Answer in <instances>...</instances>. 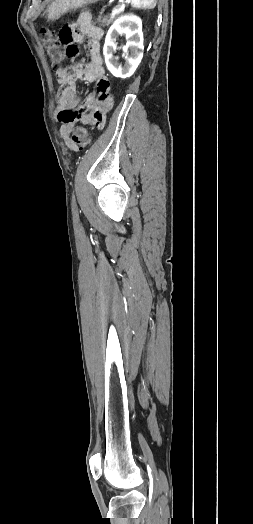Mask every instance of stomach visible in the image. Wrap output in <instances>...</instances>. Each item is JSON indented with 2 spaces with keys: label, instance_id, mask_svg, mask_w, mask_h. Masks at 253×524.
<instances>
[{
  "label": "stomach",
  "instance_id": "stomach-1",
  "mask_svg": "<svg viewBox=\"0 0 253 524\" xmlns=\"http://www.w3.org/2000/svg\"><path fill=\"white\" fill-rule=\"evenodd\" d=\"M100 0H52L46 9L48 21H56L69 11L80 9Z\"/></svg>",
  "mask_w": 253,
  "mask_h": 524
}]
</instances>
